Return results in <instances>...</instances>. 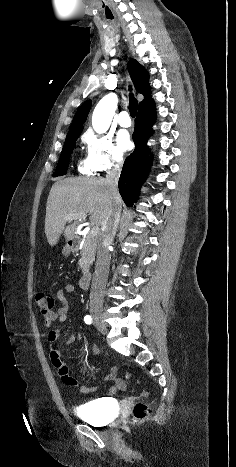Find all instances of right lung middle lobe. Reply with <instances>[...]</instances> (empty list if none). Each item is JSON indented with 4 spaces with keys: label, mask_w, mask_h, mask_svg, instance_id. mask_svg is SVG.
Masks as SVG:
<instances>
[{
    "label": "right lung middle lobe",
    "mask_w": 236,
    "mask_h": 467,
    "mask_svg": "<svg viewBox=\"0 0 236 467\" xmlns=\"http://www.w3.org/2000/svg\"><path fill=\"white\" fill-rule=\"evenodd\" d=\"M80 133L67 135L63 150L61 151L60 160L58 162L54 177L65 175L68 169L70 155L75 147L76 140Z\"/></svg>",
    "instance_id": "1"
}]
</instances>
